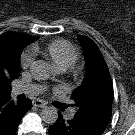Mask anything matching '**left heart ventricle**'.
I'll return each mask as SVG.
<instances>
[{
    "instance_id": "obj_1",
    "label": "left heart ventricle",
    "mask_w": 135,
    "mask_h": 135,
    "mask_svg": "<svg viewBox=\"0 0 135 135\" xmlns=\"http://www.w3.org/2000/svg\"><path fill=\"white\" fill-rule=\"evenodd\" d=\"M50 82H51V83H54V82H55V80H54V79H51V80H50Z\"/></svg>"
}]
</instances>
